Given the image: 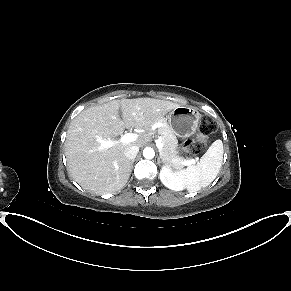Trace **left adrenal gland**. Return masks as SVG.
Masks as SVG:
<instances>
[{
  "label": "left adrenal gland",
  "mask_w": 291,
  "mask_h": 291,
  "mask_svg": "<svg viewBox=\"0 0 291 291\" xmlns=\"http://www.w3.org/2000/svg\"><path fill=\"white\" fill-rule=\"evenodd\" d=\"M162 162H164V161L162 160ZM158 163H160V157H159V159H158Z\"/></svg>",
  "instance_id": "1"
}]
</instances>
